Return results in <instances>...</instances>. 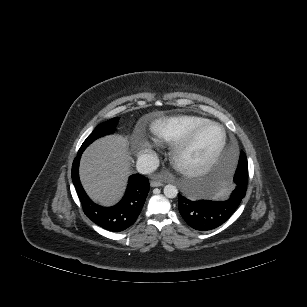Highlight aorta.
<instances>
[{
    "instance_id": "obj_1",
    "label": "aorta",
    "mask_w": 307,
    "mask_h": 307,
    "mask_svg": "<svg viewBox=\"0 0 307 307\" xmlns=\"http://www.w3.org/2000/svg\"><path fill=\"white\" fill-rule=\"evenodd\" d=\"M178 194V190L176 188V186L172 185V184H168L164 187V195L167 198H175L177 197Z\"/></svg>"
}]
</instances>
